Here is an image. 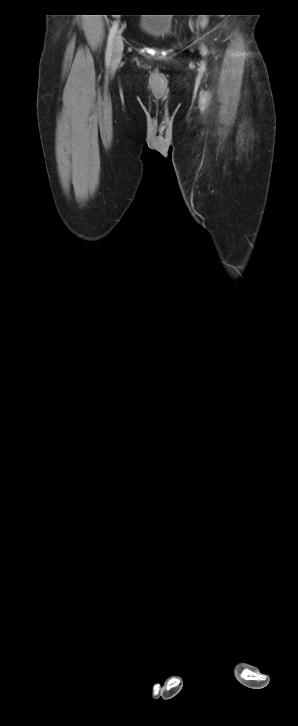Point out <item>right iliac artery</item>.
Returning <instances> with one entry per match:
<instances>
[{"mask_svg":"<svg viewBox=\"0 0 298 726\" xmlns=\"http://www.w3.org/2000/svg\"><path fill=\"white\" fill-rule=\"evenodd\" d=\"M117 29H118V23L115 22L113 24L112 28L110 29L108 40H107V49H106V54H105V60H106L107 64H109L111 62L113 41L116 36Z\"/></svg>","mask_w":298,"mask_h":726,"instance_id":"obj_1","label":"right iliac artery"}]
</instances>
